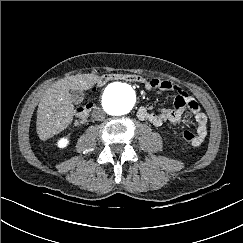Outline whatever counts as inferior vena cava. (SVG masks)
<instances>
[{"mask_svg":"<svg viewBox=\"0 0 243 243\" xmlns=\"http://www.w3.org/2000/svg\"><path fill=\"white\" fill-rule=\"evenodd\" d=\"M92 117L97 121H101L105 119L106 113L101 108H96L92 112Z\"/></svg>","mask_w":243,"mask_h":243,"instance_id":"1","label":"inferior vena cava"}]
</instances>
